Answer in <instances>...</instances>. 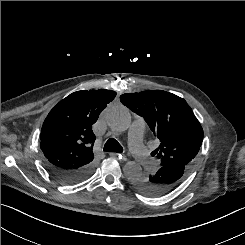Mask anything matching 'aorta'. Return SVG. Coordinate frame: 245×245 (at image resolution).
<instances>
[{
    "label": "aorta",
    "instance_id": "aorta-1",
    "mask_svg": "<svg viewBox=\"0 0 245 245\" xmlns=\"http://www.w3.org/2000/svg\"><path fill=\"white\" fill-rule=\"evenodd\" d=\"M106 123L116 133L125 132L131 125V114L123 106L110 107L106 111ZM123 171L128 180L133 176L142 175V167L134 161H128L124 165Z\"/></svg>",
    "mask_w": 245,
    "mask_h": 245
}]
</instances>
